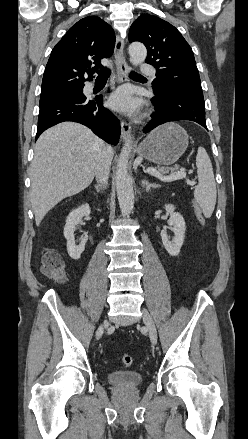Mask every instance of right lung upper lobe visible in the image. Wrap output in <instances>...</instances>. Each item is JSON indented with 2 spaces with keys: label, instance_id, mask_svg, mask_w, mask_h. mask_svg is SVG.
I'll return each mask as SVG.
<instances>
[{
  "label": "right lung upper lobe",
  "instance_id": "obj_1",
  "mask_svg": "<svg viewBox=\"0 0 248 439\" xmlns=\"http://www.w3.org/2000/svg\"><path fill=\"white\" fill-rule=\"evenodd\" d=\"M115 34L98 16H89L73 25L53 48L42 80L41 96L84 87L93 70L101 68L100 60L113 54ZM88 74V78L84 77Z\"/></svg>",
  "mask_w": 248,
  "mask_h": 439
}]
</instances>
